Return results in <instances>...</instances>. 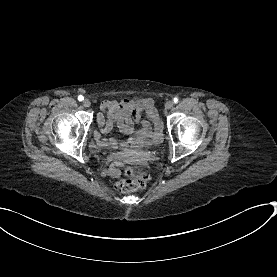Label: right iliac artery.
Here are the masks:
<instances>
[{"instance_id": "right-iliac-artery-1", "label": "right iliac artery", "mask_w": 277, "mask_h": 277, "mask_svg": "<svg viewBox=\"0 0 277 277\" xmlns=\"http://www.w3.org/2000/svg\"><path fill=\"white\" fill-rule=\"evenodd\" d=\"M83 99H84V97H83L82 95H79V96H78V100H79V101H82Z\"/></svg>"}]
</instances>
